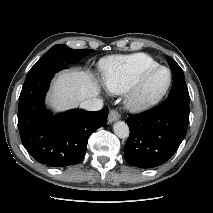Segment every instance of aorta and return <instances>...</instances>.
<instances>
[{
	"instance_id": "obj_1",
	"label": "aorta",
	"mask_w": 213,
	"mask_h": 213,
	"mask_svg": "<svg viewBox=\"0 0 213 213\" xmlns=\"http://www.w3.org/2000/svg\"><path fill=\"white\" fill-rule=\"evenodd\" d=\"M113 130L116 136L121 139H126L129 136V127L123 121H118L113 125Z\"/></svg>"
}]
</instances>
